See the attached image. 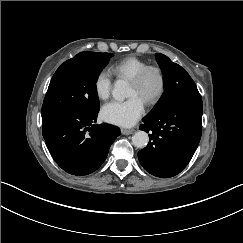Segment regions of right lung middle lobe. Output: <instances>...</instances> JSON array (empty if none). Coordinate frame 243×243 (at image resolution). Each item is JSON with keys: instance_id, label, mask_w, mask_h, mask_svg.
Here are the masks:
<instances>
[{"instance_id": "dd1d6c3e", "label": "right lung middle lobe", "mask_w": 243, "mask_h": 243, "mask_svg": "<svg viewBox=\"0 0 243 243\" xmlns=\"http://www.w3.org/2000/svg\"><path fill=\"white\" fill-rule=\"evenodd\" d=\"M111 53L81 52L53 75L44 98L42 118L63 110L99 112L96 81Z\"/></svg>"}]
</instances>
